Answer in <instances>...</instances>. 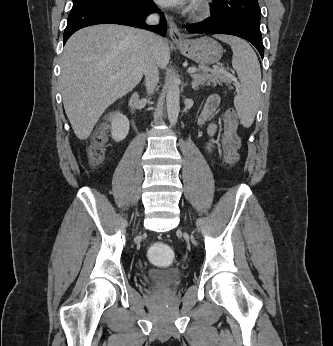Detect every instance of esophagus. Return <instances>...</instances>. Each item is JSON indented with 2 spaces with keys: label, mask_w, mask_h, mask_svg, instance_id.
Segmentation results:
<instances>
[{
  "label": "esophagus",
  "mask_w": 333,
  "mask_h": 346,
  "mask_svg": "<svg viewBox=\"0 0 333 346\" xmlns=\"http://www.w3.org/2000/svg\"><path fill=\"white\" fill-rule=\"evenodd\" d=\"M168 25H169V35L170 38L175 42H183L185 41L184 36L181 34L179 28L174 23L172 17L168 18Z\"/></svg>",
  "instance_id": "1"
}]
</instances>
